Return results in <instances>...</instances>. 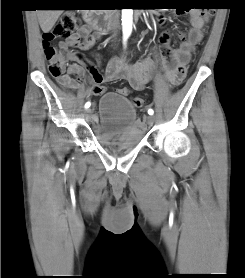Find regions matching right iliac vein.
Listing matches in <instances>:
<instances>
[{
	"label": "right iliac vein",
	"instance_id": "obj_1",
	"mask_svg": "<svg viewBox=\"0 0 245 278\" xmlns=\"http://www.w3.org/2000/svg\"><path fill=\"white\" fill-rule=\"evenodd\" d=\"M92 112H93V110L90 108V109H87L86 111H85V113H86V117H89L91 114H92Z\"/></svg>",
	"mask_w": 245,
	"mask_h": 278
}]
</instances>
